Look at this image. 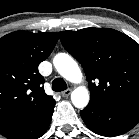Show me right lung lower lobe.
<instances>
[{
	"label": "right lung lower lobe",
	"instance_id": "obj_1",
	"mask_svg": "<svg viewBox=\"0 0 139 139\" xmlns=\"http://www.w3.org/2000/svg\"><path fill=\"white\" fill-rule=\"evenodd\" d=\"M55 103V101L52 102L31 119L19 123L0 134L8 139H37L41 137L50 125Z\"/></svg>",
	"mask_w": 139,
	"mask_h": 139
}]
</instances>
